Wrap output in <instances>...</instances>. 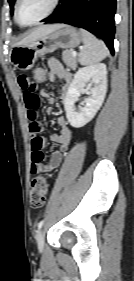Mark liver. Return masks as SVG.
Returning <instances> with one entry per match:
<instances>
[{"instance_id":"1","label":"liver","mask_w":134,"mask_h":281,"mask_svg":"<svg viewBox=\"0 0 134 281\" xmlns=\"http://www.w3.org/2000/svg\"><path fill=\"white\" fill-rule=\"evenodd\" d=\"M60 27V24L55 25H44L41 27H38L31 31L29 35H27L24 39L16 43V45H24L34 42L35 40L43 37L44 35L58 29Z\"/></svg>"}]
</instances>
